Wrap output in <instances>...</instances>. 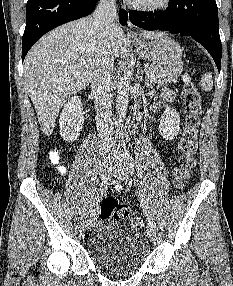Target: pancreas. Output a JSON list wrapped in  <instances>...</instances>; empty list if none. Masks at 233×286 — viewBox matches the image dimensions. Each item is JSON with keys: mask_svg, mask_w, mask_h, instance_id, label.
<instances>
[{"mask_svg": "<svg viewBox=\"0 0 233 286\" xmlns=\"http://www.w3.org/2000/svg\"><path fill=\"white\" fill-rule=\"evenodd\" d=\"M149 72L152 73L153 76L147 75V81L158 85H163L167 82L177 83L181 73L178 68L162 67L158 65H151L149 67Z\"/></svg>", "mask_w": 233, "mask_h": 286, "instance_id": "pancreas-1", "label": "pancreas"}]
</instances>
